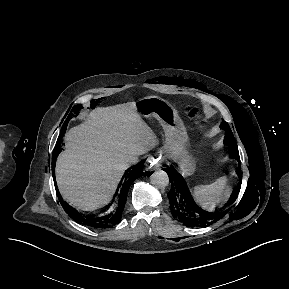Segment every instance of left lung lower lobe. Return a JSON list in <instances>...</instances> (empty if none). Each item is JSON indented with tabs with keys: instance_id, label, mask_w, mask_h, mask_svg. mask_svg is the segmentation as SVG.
<instances>
[{
	"instance_id": "left-lung-lower-lobe-1",
	"label": "left lung lower lobe",
	"mask_w": 289,
	"mask_h": 289,
	"mask_svg": "<svg viewBox=\"0 0 289 289\" xmlns=\"http://www.w3.org/2000/svg\"><path fill=\"white\" fill-rule=\"evenodd\" d=\"M238 162L240 163V161ZM166 172L172 183L171 190L168 193L171 213L184 225L188 227H207L226 214L227 211L212 214L198 207L191 197L184 178L172 168L166 169ZM237 173L241 179L240 164Z\"/></svg>"
}]
</instances>
